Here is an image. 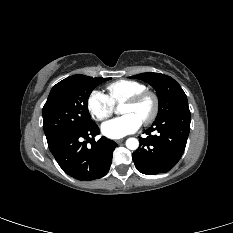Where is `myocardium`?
Masks as SVG:
<instances>
[{"mask_svg":"<svg viewBox=\"0 0 233 233\" xmlns=\"http://www.w3.org/2000/svg\"><path fill=\"white\" fill-rule=\"evenodd\" d=\"M146 98H150L153 101V110L151 112V114L142 121L143 125H148L151 124L158 116L159 114V110H160V102H159V98L157 96L156 93L149 91V90H144L140 93H137L133 96H131L130 98H128L126 101L123 102V105H137L139 104L141 101H143Z\"/></svg>","mask_w":233,"mask_h":233,"instance_id":"1","label":"myocardium"}]
</instances>
